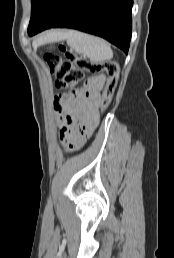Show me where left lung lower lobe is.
<instances>
[{
	"label": "left lung lower lobe",
	"instance_id": "0a47b994",
	"mask_svg": "<svg viewBox=\"0 0 174 258\" xmlns=\"http://www.w3.org/2000/svg\"><path fill=\"white\" fill-rule=\"evenodd\" d=\"M133 0H58L29 36L49 28H72L105 38L128 53Z\"/></svg>",
	"mask_w": 174,
	"mask_h": 258
}]
</instances>
